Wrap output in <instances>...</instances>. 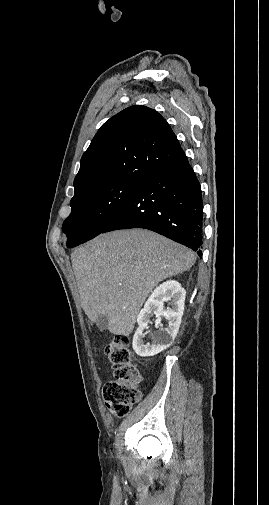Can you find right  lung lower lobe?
Returning <instances> with one entry per match:
<instances>
[{
	"label": "right lung lower lobe",
	"instance_id": "98d812e1",
	"mask_svg": "<svg viewBox=\"0 0 269 505\" xmlns=\"http://www.w3.org/2000/svg\"><path fill=\"white\" fill-rule=\"evenodd\" d=\"M145 228L202 254L200 183L185 154L152 173L101 232Z\"/></svg>",
	"mask_w": 269,
	"mask_h": 505
}]
</instances>
